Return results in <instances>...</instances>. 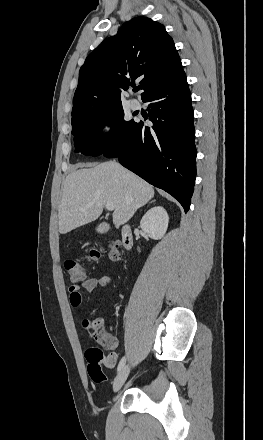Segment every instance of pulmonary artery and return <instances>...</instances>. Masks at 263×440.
<instances>
[{
  "label": "pulmonary artery",
  "instance_id": "pulmonary-artery-1",
  "mask_svg": "<svg viewBox=\"0 0 263 440\" xmlns=\"http://www.w3.org/2000/svg\"><path fill=\"white\" fill-rule=\"evenodd\" d=\"M129 103H130V107H131L133 110H136V109H138V108L140 107V103H139V101H138L137 99H135V98H131V99L129 100Z\"/></svg>",
  "mask_w": 263,
  "mask_h": 440
}]
</instances>
